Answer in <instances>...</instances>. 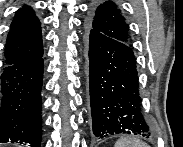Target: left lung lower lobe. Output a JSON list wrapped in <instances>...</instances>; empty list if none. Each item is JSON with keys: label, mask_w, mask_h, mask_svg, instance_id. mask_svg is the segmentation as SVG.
Returning a JSON list of instances; mask_svg holds the SVG:
<instances>
[{"label": "left lung lower lobe", "mask_w": 183, "mask_h": 147, "mask_svg": "<svg viewBox=\"0 0 183 147\" xmlns=\"http://www.w3.org/2000/svg\"><path fill=\"white\" fill-rule=\"evenodd\" d=\"M85 44L93 134L149 137L152 129L141 112L136 60L129 44L90 29Z\"/></svg>", "instance_id": "obj_1"}]
</instances>
